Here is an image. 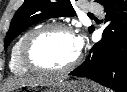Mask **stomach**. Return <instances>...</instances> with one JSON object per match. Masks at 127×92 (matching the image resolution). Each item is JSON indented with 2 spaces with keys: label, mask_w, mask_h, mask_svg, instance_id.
<instances>
[{
  "label": "stomach",
  "mask_w": 127,
  "mask_h": 92,
  "mask_svg": "<svg viewBox=\"0 0 127 92\" xmlns=\"http://www.w3.org/2000/svg\"><path fill=\"white\" fill-rule=\"evenodd\" d=\"M44 92H94L92 84L85 80H63L53 85L47 86Z\"/></svg>",
  "instance_id": "obj_1"
}]
</instances>
